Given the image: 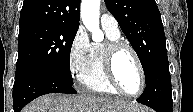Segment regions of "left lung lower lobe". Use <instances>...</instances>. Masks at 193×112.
<instances>
[{
  "label": "left lung lower lobe",
  "instance_id": "left-lung-lower-lobe-1",
  "mask_svg": "<svg viewBox=\"0 0 193 112\" xmlns=\"http://www.w3.org/2000/svg\"><path fill=\"white\" fill-rule=\"evenodd\" d=\"M137 102L153 108L156 112H172L171 78L169 62L164 58L155 68Z\"/></svg>",
  "mask_w": 193,
  "mask_h": 112
}]
</instances>
